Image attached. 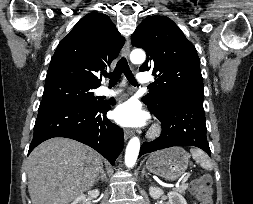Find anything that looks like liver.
Returning a JSON list of instances; mask_svg holds the SVG:
<instances>
[{"label":"liver","mask_w":253,"mask_h":204,"mask_svg":"<svg viewBox=\"0 0 253 204\" xmlns=\"http://www.w3.org/2000/svg\"><path fill=\"white\" fill-rule=\"evenodd\" d=\"M103 168L102 157L75 140L56 137L28 157V191L32 204H68L89 190Z\"/></svg>","instance_id":"1"}]
</instances>
